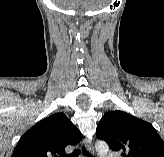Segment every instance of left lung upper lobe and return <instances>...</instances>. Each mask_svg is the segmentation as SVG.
Wrapping results in <instances>:
<instances>
[{
  "mask_svg": "<svg viewBox=\"0 0 164 157\" xmlns=\"http://www.w3.org/2000/svg\"><path fill=\"white\" fill-rule=\"evenodd\" d=\"M96 134L121 157H164V141L154 127L124 111H108Z\"/></svg>",
  "mask_w": 164,
  "mask_h": 157,
  "instance_id": "5c2ea615",
  "label": "left lung upper lobe"
}]
</instances>
